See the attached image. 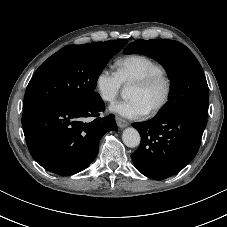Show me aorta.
<instances>
[{"mask_svg": "<svg viewBox=\"0 0 227 227\" xmlns=\"http://www.w3.org/2000/svg\"><path fill=\"white\" fill-rule=\"evenodd\" d=\"M127 89L124 88L121 92L122 97H126ZM123 143L130 148L139 146L141 137L139 132L135 128H126L122 133Z\"/></svg>", "mask_w": 227, "mask_h": 227, "instance_id": "1", "label": "aorta"}]
</instances>
